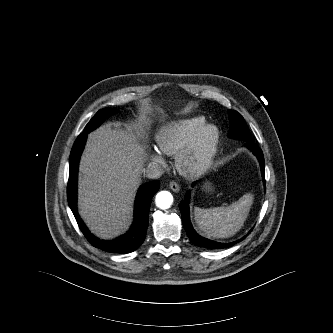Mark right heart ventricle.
Returning a JSON list of instances; mask_svg holds the SVG:
<instances>
[{"label":"right heart ventricle","mask_w":333,"mask_h":333,"mask_svg":"<svg viewBox=\"0 0 333 333\" xmlns=\"http://www.w3.org/2000/svg\"><path fill=\"white\" fill-rule=\"evenodd\" d=\"M204 124V116H192L162 126L155 137L158 150L168 156H177Z\"/></svg>","instance_id":"1"}]
</instances>
